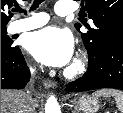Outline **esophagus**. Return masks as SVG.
<instances>
[{"mask_svg": "<svg viewBox=\"0 0 123 113\" xmlns=\"http://www.w3.org/2000/svg\"><path fill=\"white\" fill-rule=\"evenodd\" d=\"M43 85L47 89H51V88L53 89V88H55L57 86L56 82L53 81V80H50V79H45L43 81Z\"/></svg>", "mask_w": 123, "mask_h": 113, "instance_id": "34e87169", "label": "esophagus"}]
</instances>
